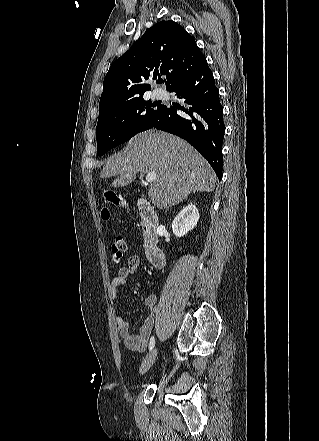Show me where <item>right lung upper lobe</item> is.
Returning a JSON list of instances; mask_svg holds the SVG:
<instances>
[{
    "label": "right lung upper lobe",
    "mask_w": 319,
    "mask_h": 441,
    "mask_svg": "<svg viewBox=\"0 0 319 441\" xmlns=\"http://www.w3.org/2000/svg\"><path fill=\"white\" fill-rule=\"evenodd\" d=\"M204 60L194 38L185 29L174 21H161L110 66L99 109L142 99L151 89L147 81L163 75L168 90Z\"/></svg>",
    "instance_id": "1"
}]
</instances>
